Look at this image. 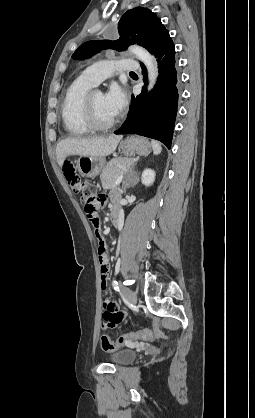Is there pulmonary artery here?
<instances>
[{
	"label": "pulmonary artery",
	"instance_id": "pulmonary-artery-1",
	"mask_svg": "<svg viewBox=\"0 0 255 418\" xmlns=\"http://www.w3.org/2000/svg\"><path fill=\"white\" fill-rule=\"evenodd\" d=\"M138 68L139 64L131 59L101 61L86 68L83 71L82 76L89 80L92 84L98 85L114 73L135 71Z\"/></svg>",
	"mask_w": 255,
	"mask_h": 418
}]
</instances>
